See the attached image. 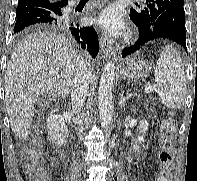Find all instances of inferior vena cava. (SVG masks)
Segmentation results:
<instances>
[{"label":"inferior vena cava","mask_w":197,"mask_h":181,"mask_svg":"<svg viewBox=\"0 0 197 181\" xmlns=\"http://www.w3.org/2000/svg\"><path fill=\"white\" fill-rule=\"evenodd\" d=\"M90 78V65L85 61H81L79 69L71 84V104L73 114H78L84 105L88 94Z\"/></svg>","instance_id":"602c4592"}]
</instances>
